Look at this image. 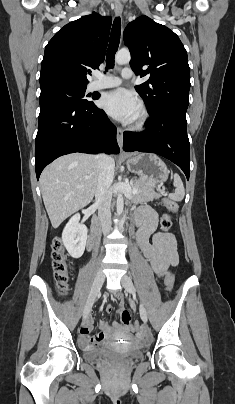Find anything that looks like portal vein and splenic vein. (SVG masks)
<instances>
[{"label":"portal vein and splenic vein","instance_id":"1","mask_svg":"<svg viewBox=\"0 0 235 404\" xmlns=\"http://www.w3.org/2000/svg\"><path fill=\"white\" fill-rule=\"evenodd\" d=\"M160 190V189H159ZM138 192V189L137 188H133V190H132V193L133 194H136Z\"/></svg>","mask_w":235,"mask_h":404}]
</instances>
